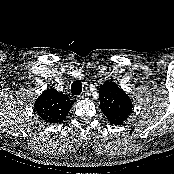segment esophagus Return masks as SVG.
<instances>
[{
    "mask_svg": "<svg viewBox=\"0 0 174 174\" xmlns=\"http://www.w3.org/2000/svg\"><path fill=\"white\" fill-rule=\"evenodd\" d=\"M88 95H89L88 91L85 90V91L82 92V94H81L79 97H80V99H84V98H86Z\"/></svg>",
    "mask_w": 174,
    "mask_h": 174,
    "instance_id": "1",
    "label": "esophagus"
}]
</instances>
